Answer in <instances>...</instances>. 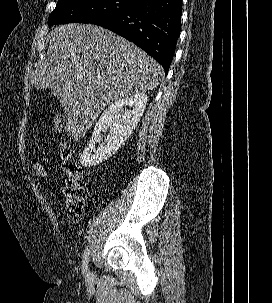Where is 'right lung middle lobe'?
Here are the masks:
<instances>
[{"label": "right lung middle lobe", "mask_w": 272, "mask_h": 303, "mask_svg": "<svg viewBox=\"0 0 272 303\" xmlns=\"http://www.w3.org/2000/svg\"><path fill=\"white\" fill-rule=\"evenodd\" d=\"M136 3L135 0H58L49 15V27L72 22L92 23L125 11Z\"/></svg>", "instance_id": "dd1d6c3e"}]
</instances>
